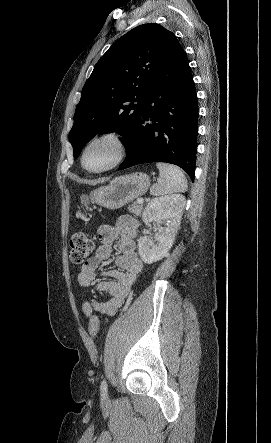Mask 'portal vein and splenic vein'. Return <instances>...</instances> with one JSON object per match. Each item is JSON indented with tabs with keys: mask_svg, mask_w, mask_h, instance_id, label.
Instances as JSON below:
<instances>
[{
	"mask_svg": "<svg viewBox=\"0 0 271 443\" xmlns=\"http://www.w3.org/2000/svg\"><path fill=\"white\" fill-rule=\"evenodd\" d=\"M144 200H142V198H138L137 200V204H143Z\"/></svg>",
	"mask_w": 271,
	"mask_h": 443,
	"instance_id": "portal-vein-and-splenic-vein-1",
	"label": "portal vein and splenic vein"
}]
</instances>
